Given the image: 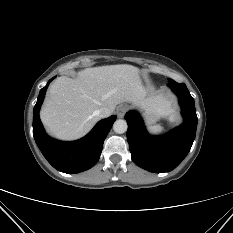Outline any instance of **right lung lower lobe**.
<instances>
[{"mask_svg":"<svg viewBox=\"0 0 233 233\" xmlns=\"http://www.w3.org/2000/svg\"><path fill=\"white\" fill-rule=\"evenodd\" d=\"M40 90L33 110V136L47 161L57 170L73 174L93 167L100 158L103 142L110 131L116 116L99 121L82 139L63 142L50 138L44 131L39 118V110L49 83Z\"/></svg>","mask_w":233,"mask_h":233,"instance_id":"right-lung-lower-lobe-1","label":"right lung lower lobe"}]
</instances>
